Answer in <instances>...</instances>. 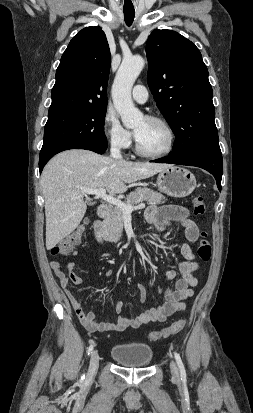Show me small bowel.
Wrapping results in <instances>:
<instances>
[{
    "mask_svg": "<svg viewBox=\"0 0 253 413\" xmlns=\"http://www.w3.org/2000/svg\"><path fill=\"white\" fill-rule=\"evenodd\" d=\"M145 218L148 223L154 225L159 231L167 227L181 226L185 229L186 243H183L180 252L184 260L178 264L179 277L176 279L174 289H160L163 295L164 303L157 308H149L145 312L134 318L119 316L116 322H99L94 312H85L80 299L68 289L70 284L80 285L82 279L74 272L75 262L69 261L67 264L68 273L66 274L61 264L53 260L50 262V268L58 278L61 287L72 305L77 317L82 325L90 332H120L127 328H139L147 323L163 322L175 312L184 311L185 300L193 297L192 288L197 285V279L194 272L198 270L199 264L195 261L192 244L198 239L199 229L196 223L190 218L189 211L185 207L178 205H165L161 207L151 206L146 210ZM73 256L77 255L74 251ZM111 270L107 271L110 276ZM176 278V271L169 270L166 273V280ZM140 301L146 300V288L143 284L139 285ZM123 303L118 302L115 307L117 313H121Z\"/></svg>",
    "mask_w": 253,
    "mask_h": 413,
    "instance_id": "c3829d8e",
    "label": "small bowel"
}]
</instances>
